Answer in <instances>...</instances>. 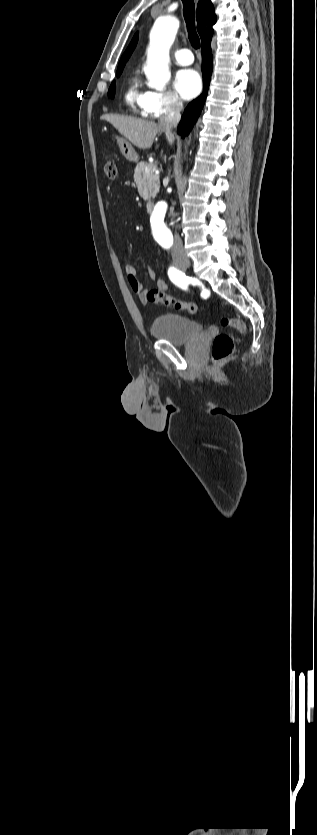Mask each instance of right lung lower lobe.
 I'll return each mask as SVG.
<instances>
[{
    "mask_svg": "<svg viewBox=\"0 0 317 835\" xmlns=\"http://www.w3.org/2000/svg\"><path fill=\"white\" fill-rule=\"evenodd\" d=\"M211 38L202 42V71H203V93L194 99L184 110L182 120L178 127V133L183 137L187 135L198 119L203 108L213 68V56L211 54Z\"/></svg>",
    "mask_w": 317,
    "mask_h": 835,
    "instance_id": "obj_1",
    "label": "right lung lower lobe"
}]
</instances>
